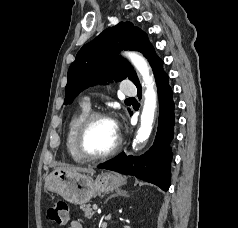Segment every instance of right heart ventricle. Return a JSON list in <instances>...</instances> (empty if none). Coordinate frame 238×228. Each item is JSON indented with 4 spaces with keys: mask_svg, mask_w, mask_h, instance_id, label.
Segmentation results:
<instances>
[{
    "mask_svg": "<svg viewBox=\"0 0 238 228\" xmlns=\"http://www.w3.org/2000/svg\"><path fill=\"white\" fill-rule=\"evenodd\" d=\"M89 112H90L89 106L84 103H81L79 108L74 112V114L69 119L67 125V132L65 138L66 149L70 157L73 159V161L77 163H84L86 161L78 154L75 147V139L79 125Z\"/></svg>",
    "mask_w": 238,
    "mask_h": 228,
    "instance_id": "e07e8e85",
    "label": "right heart ventricle"
}]
</instances>
